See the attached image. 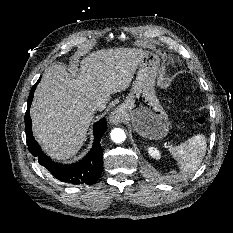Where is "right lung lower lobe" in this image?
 <instances>
[{"label": "right lung lower lobe", "mask_w": 233, "mask_h": 233, "mask_svg": "<svg viewBox=\"0 0 233 233\" xmlns=\"http://www.w3.org/2000/svg\"><path fill=\"white\" fill-rule=\"evenodd\" d=\"M32 87L28 98L27 111L25 113V129L27 136L28 149L31 154L38 160L39 164L45 167L50 174L58 180L74 185L95 183L102 171L103 151L100 145V139L107 129L106 119L103 118L94 125V143L91 151L78 163L72 165H59L54 163L48 156H46L38 143L35 141L32 134V122L30 118V106L33 100L34 91L37 84Z\"/></svg>", "instance_id": "1"}]
</instances>
